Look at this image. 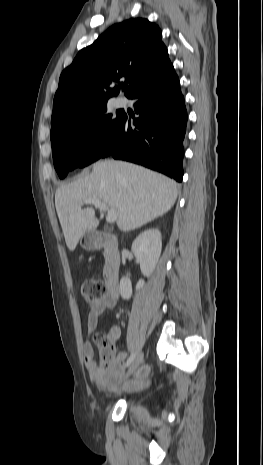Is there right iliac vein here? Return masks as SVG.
Masks as SVG:
<instances>
[{
	"instance_id": "1",
	"label": "right iliac vein",
	"mask_w": 263,
	"mask_h": 465,
	"mask_svg": "<svg viewBox=\"0 0 263 465\" xmlns=\"http://www.w3.org/2000/svg\"><path fill=\"white\" fill-rule=\"evenodd\" d=\"M143 357H144L143 353L138 354V356L135 358V360L130 365L124 377L125 379L128 378L130 375H132L136 371V369L141 365V363L143 362Z\"/></svg>"
}]
</instances>
